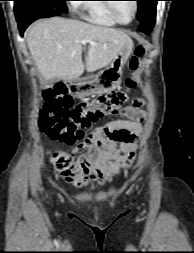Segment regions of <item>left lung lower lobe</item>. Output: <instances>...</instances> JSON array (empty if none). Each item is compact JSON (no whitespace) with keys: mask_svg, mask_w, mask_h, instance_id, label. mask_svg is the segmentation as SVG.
I'll list each match as a JSON object with an SVG mask.
<instances>
[{"mask_svg":"<svg viewBox=\"0 0 194 253\" xmlns=\"http://www.w3.org/2000/svg\"><path fill=\"white\" fill-rule=\"evenodd\" d=\"M155 16H156V7L147 14V16L143 21H140L139 30L141 32L149 34L155 23Z\"/></svg>","mask_w":194,"mask_h":253,"instance_id":"0a47b994","label":"left lung lower lobe"}]
</instances>
